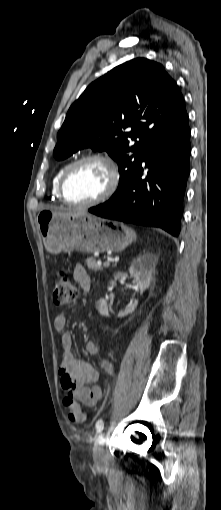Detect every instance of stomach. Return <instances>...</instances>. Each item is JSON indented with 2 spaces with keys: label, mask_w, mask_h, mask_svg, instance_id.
I'll list each match as a JSON object with an SVG mask.
<instances>
[{
  "label": "stomach",
  "mask_w": 221,
  "mask_h": 510,
  "mask_svg": "<svg viewBox=\"0 0 221 510\" xmlns=\"http://www.w3.org/2000/svg\"><path fill=\"white\" fill-rule=\"evenodd\" d=\"M37 222L45 248L52 254L121 251L135 239L123 223L88 213L41 211Z\"/></svg>",
  "instance_id": "1"
}]
</instances>
